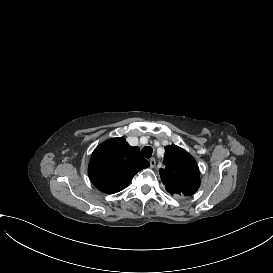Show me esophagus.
Returning a JSON list of instances; mask_svg holds the SVG:
<instances>
[{"label":"esophagus","instance_id":"esophagus-1","mask_svg":"<svg viewBox=\"0 0 273 273\" xmlns=\"http://www.w3.org/2000/svg\"><path fill=\"white\" fill-rule=\"evenodd\" d=\"M149 163H150L151 168L155 167V165H156L155 158H151Z\"/></svg>","mask_w":273,"mask_h":273}]
</instances>
